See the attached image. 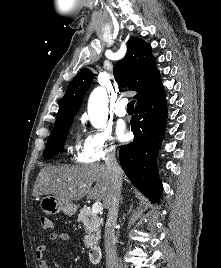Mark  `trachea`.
<instances>
[{
  "mask_svg": "<svg viewBox=\"0 0 221 268\" xmlns=\"http://www.w3.org/2000/svg\"><path fill=\"white\" fill-rule=\"evenodd\" d=\"M135 100H132L128 103L127 109L133 110L134 109Z\"/></svg>",
  "mask_w": 221,
  "mask_h": 268,
  "instance_id": "3493384b",
  "label": "trachea"
}]
</instances>
